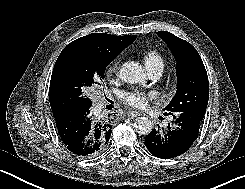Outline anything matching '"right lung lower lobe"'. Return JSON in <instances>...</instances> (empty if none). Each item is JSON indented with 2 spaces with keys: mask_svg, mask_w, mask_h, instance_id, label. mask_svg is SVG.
<instances>
[{
  "mask_svg": "<svg viewBox=\"0 0 245 189\" xmlns=\"http://www.w3.org/2000/svg\"><path fill=\"white\" fill-rule=\"evenodd\" d=\"M90 107L65 110L54 116L61 140L69 151L78 156L99 153L112 132V120H95L90 115Z\"/></svg>",
  "mask_w": 245,
  "mask_h": 189,
  "instance_id": "right-lung-lower-lobe-1",
  "label": "right lung lower lobe"
}]
</instances>
